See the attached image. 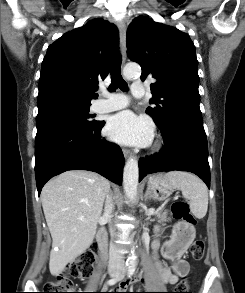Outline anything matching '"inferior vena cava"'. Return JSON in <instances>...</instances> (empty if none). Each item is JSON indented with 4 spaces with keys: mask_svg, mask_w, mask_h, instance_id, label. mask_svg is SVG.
Wrapping results in <instances>:
<instances>
[{
    "mask_svg": "<svg viewBox=\"0 0 245 293\" xmlns=\"http://www.w3.org/2000/svg\"><path fill=\"white\" fill-rule=\"evenodd\" d=\"M113 210V204L110 197L107 195L106 203H105V209H104V217L108 221L111 220V213ZM111 236L113 237V230H110ZM124 267V259L122 254L117 250V248L111 244L110 250H109V265L108 268L111 271H120Z\"/></svg>",
    "mask_w": 245,
    "mask_h": 293,
    "instance_id": "1",
    "label": "inferior vena cava"
}]
</instances>
